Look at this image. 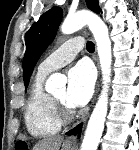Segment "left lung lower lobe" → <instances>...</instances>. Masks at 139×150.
I'll list each match as a JSON object with an SVG mask.
<instances>
[{
	"instance_id": "obj_1",
	"label": "left lung lower lobe",
	"mask_w": 139,
	"mask_h": 150,
	"mask_svg": "<svg viewBox=\"0 0 139 150\" xmlns=\"http://www.w3.org/2000/svg\"><path fill=\"white\" fill-rule=\"evenodd\" d=\"M80 130H81V125L75 127L74 129L70 130L69 132H67V135H72V134H80Z\"/></svg>"
}]
</instances>
